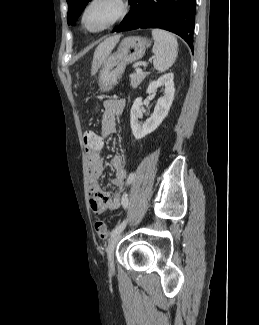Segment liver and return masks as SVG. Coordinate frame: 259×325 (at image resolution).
<instances>
[{
	"label": "liver",
	"mask_w": 259,
	"mask_h": 325,
	"mask_svg": "<svg viewBox=\"0 0 259 325\" xmlns=\"http://www.w3.org/2000/svg\"><path fill=\"white\" fill-rule=\"evenodd\" d=\"M120 37H121L120 35L109 37L106 40H104L100 45H98L93 56L92 74H95L99 69V67L107 59L111 51L118 43Z\"/></svg>",
	"instance_id": "liver-1"
}]
</instances>
